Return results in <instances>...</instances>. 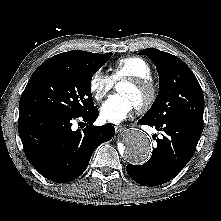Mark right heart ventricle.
Wrapping results in <instances>:
<instances>
[{
  "mask_svg": "<svg viewBox=\"0 0 221 221\" xmlns=\"http://www.w3.org/2000/svg\"><path fill=\"white\" fill-rule=\"evenodd\" d=\"M113 81L124 78H151L152 69L149 63L138 56L119 58L111 68Z\"/></svg>",
  "mask_w": 221,
  "mask_h": 221,
  "instance_id": "1",
  "label": "right heart ventricle"
}]
</instances>
